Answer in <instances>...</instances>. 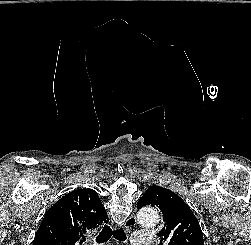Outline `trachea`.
<instances>
[{
    "instance_id": "1",
    "label": "trachea",
    "mask_w": 251,
    "mask_h": 245,
    "mask_svg": "<svg viewBox=\"0 0 251 245\" xmlns=\"http://www.w3.org/2000/svg\"><path fill=\"white\" fill-rule=\"evenodd\" d=\"M111 236H113L115 239L119 241H125L126 240V234L122 228H119L117 230H112L110 226L104 225L103 229L99 233V235L96 237L97 243H104L107 242ZM85 241L83 239L81 242Z\"/></svg>"
}]
</instances>
